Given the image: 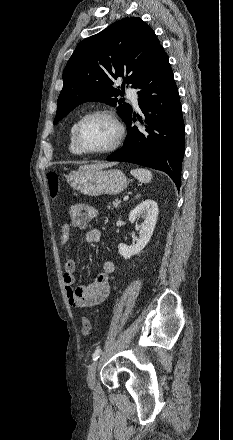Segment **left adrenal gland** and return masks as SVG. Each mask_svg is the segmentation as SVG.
<instances>
[{"mask_svg":"<svg viewBox=\"0 0 233 440\" xmlns=\"http://www.w3.org/2000/svg\"><path fill=\"white\" fill-rule=\"evenodd\" d=\"M139 196H140V195H137V196L135 197V199H137Z\"/></svg>","mask_w":233,"mask_h":440,"instance_id":"left-adrenal-gland-1","label":"left adrenal gland"}]
</instances>
